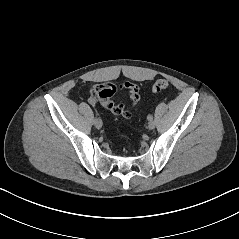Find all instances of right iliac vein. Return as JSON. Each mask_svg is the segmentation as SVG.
Instances as JSON below:
<instances>
[{"label":"right iliac vein","instance_id":"63e3f726","mask_svg":"<svg viewBox=\"0 0 239 239\" xmlns=\"http://www.w3.org/2000/svg\"><path fill=\"white\" fill-rule=\"evenodd\" d=\"M95 124V127L97 129H100L102 127V122L100 120H98L97 122L94 123Z\"/></svg>","mask_w":239,"mask_h":239}]
</instances>
